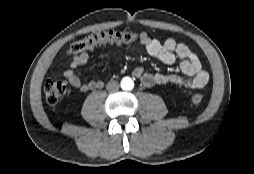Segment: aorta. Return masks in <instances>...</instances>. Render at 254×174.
Segmentation results:
<instances>
[{
	"label": "aorta",
	"instance_id": "aorta-1",
	"mask_svg": "<svg viewBox=\"0 0 254 174\" xmlns=\"http://www.w3.org/2000/svg\"><path fill=\"white\" fill-rule=\"evenodd\" d=\"M134 87V82L131 80V78H123L121 81V88L123 90H131Z\"/></svg>",
	"mask_w": 254,
	"mask_h": 174
}]
</instances>
